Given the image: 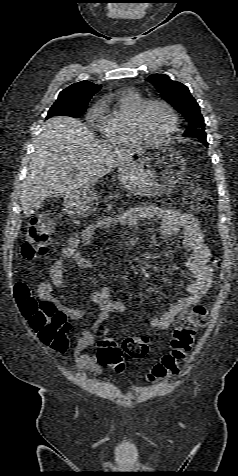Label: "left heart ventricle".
<instances>
[{
  "instance_id": "b2bd125f",
  "label": "left heart ventricle",
  "mask_w": 238,
  "mask_h": 476,
  "mask_svg": "<svg viewBox=\"0 0 238 476\" xmlns=\"http://www.w3.org/2000/svg\"><path fill=\"white\" fill-rule=\"evenodd\" d=\"M171 117L168 111L159 104L149 106L143 117V124L149 135L161 137L171 126Z\"/></svg>"
}]
</instances>
